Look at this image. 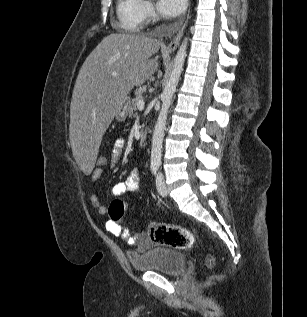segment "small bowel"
Wrapping results in <instances>:
<instances>
[{"instance_id":"1","label":"small bowel","mask_w":307,"mask_h":317,"mask_svg":"<svg viewBox=\"0 0 307 317\" xmlns=\"http://www.w3.org/2000/svg\"><path fill=\"white\" fill-rule=\"evenodd\" d=\"M125 148L126 142L123 138H118L115 140L107 168L113 169L117 166L124 154ZM102 174V168L93 169L90 174L91 182L96 183L101 178ZM139 186L140 174L137 169H134L130 172V174L124 181L119 182L113 186L111 194L113 196H121L126 193L136 192L139 189ZM90 199L98 214L105 215L107 213V207L100 202L99 197L95 192H92ZM106 229L112 234L120 236L129 244H134L137 242L140 248H144L147 245V240L145 239V236L143 234H139L137 237L132 238L127 229L121 227L119 224L113 221L106 222Z\"/></svg>"}]
</instances>
